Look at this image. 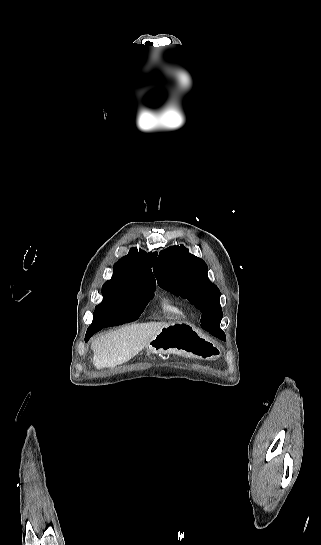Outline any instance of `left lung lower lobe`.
Instances as JSON below:
<instances>
[{
  "mask_svg": "<svg viewBox=\"0 0 321 545\" xmlns=\"http://www.w3.org/2000/svg\"><path fill=\"white\" fill-rule=\"evenodd\" d=\"M221 319L222 318L210 316L204 324H201V327L212 335L217 336L221 332L219 327Z\"/></svg>",
  "mask_w": 321,
  "mask_h": 545,
  "instance_id": "0a47b994",
  "label": "left lung lower lobe"
}]
</instances>
